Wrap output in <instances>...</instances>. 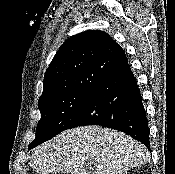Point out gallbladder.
Segmentation results:
<instances>
[{
	"label": "gallbladder",
	"instance_id": "bac80fb5",
	"mask_svg": "<svg viewBox=\"0 0 175 174\" xmlns=\"http://www.w3.org/2000/svg\"><path fill=\"white\" fill-rule=\"evenodd\" d=\"M58 174H64L63 172H61V173H58Z\"/></svg>",
	"mask_w": 175,
	"mask_h": 174
}]
</instances>
